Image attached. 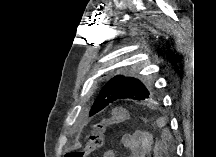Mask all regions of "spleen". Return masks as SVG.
I'll list each match as a JSON object with an SVG mask.
<instances>
[{
	"mask_svg": "<svg viewBox=\"0 0 216 157\" xmlns=\"http://www.w3.org/2000/svg\"><path fill=\"white\" fill-rule=\"evenodd\" d=\"M168 139H171V136H170V135L168 136Z\"/></svg>",
	"mask_w": 216,
	"mask_h": 157,
	"instance_id": "obj_1",
	"label": "spleen"
}]
</instances>
